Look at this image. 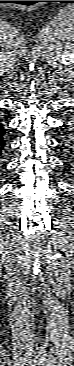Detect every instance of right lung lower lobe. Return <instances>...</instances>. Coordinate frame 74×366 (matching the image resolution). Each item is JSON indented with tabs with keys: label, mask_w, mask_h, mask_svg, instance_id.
Instances as JSON below:
<instances>
[{
	"label": "right lung lower lobe",
	"mask_w": 74,
	"mask_h": 366,
	"mask_svg": "<svg viewBox=\"0 0 74 366\" xmlns=\"http://www.w3.org/2000/svg\"><path fill=\"white\" fill-rule=\"evenodd\" d=\"M1 118H0V156L2 153V150L5 147L6 144V139H5V134H6V129L4 128V125H2L1 123Z\"/></svg>",
	"instance_id": "98d812e1"
}]
</instances>
